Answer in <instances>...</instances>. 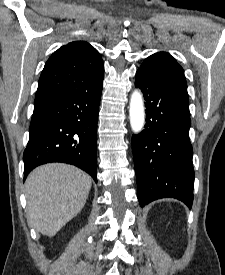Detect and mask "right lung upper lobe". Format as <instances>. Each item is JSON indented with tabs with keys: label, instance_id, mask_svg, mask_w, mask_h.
<instances>
[{
	"label": "right lung upper lobe",
	"instance_id": "obj_1",
	"mask_svg": "<svg viewBox=\"0 0 225 275\" xmlns=\"http://www.w3.org/2000/svg\"><path fill=\"white\" fill-rule=\"evenodd\" d=\"M103 72L101 55L94 47L85 41L71 42L55 51L46 62L35 101L71 91H91Z\"/></svg>",
	"mask_w": 225,
	"mask_h": 275
}]
</instances>
